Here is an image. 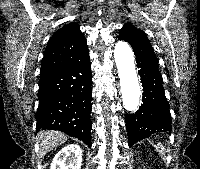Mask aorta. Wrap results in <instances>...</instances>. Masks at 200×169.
Masks as SVG:
<instances>
[{
	"instance_id": "obj_1",
	"label": "aorta",
	"mask_w": 200,
	"mask_h": 169,
	"mask_svg": "<svg viewBox=\"0 0 200 169\" xmlns=\"http://www.w3.org/2000/svg\"><path fill=\"white\" fill-rule=\"evenodd\" d=\"M114 58L120 79L124 108L136 111L139 107L141 89L135 68L133 51L124 41H118L114 48Z\"/></svg>"
}]
</instances>
